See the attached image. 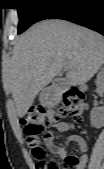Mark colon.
<instances>
[{"label":"colon","instance_id":"obj_1","mask_svg":"<svg viewBox=\"0 0 104 169\" xmlns=\"http://www.w3.org/2000/svg\"><path fill=\"white\" fill-rule=\"evenodd\" d=\"M85 107L84 94L72 88L65 92L63 104L57 110H45L43 107L30 109L22 118L21 125L26 135V143L31 148V154L36 161V169H59V163L54 158L58 153L55 145H43L40 135L46 127L54 125L62 116L72 114L76 123L82 120ZM79 160L75 156L65 158L66 169L75 168Z\"/></svg>","mask_w":104,"mask_h":169}]
</instances>
